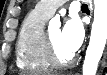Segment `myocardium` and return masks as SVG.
Returning <instances> with one entry per match:
<instances>
[{"instance_id":"myocardium-1","label":"myocardium","mask_w":107,"mask_h":75,"mask_svg":"<svg viewBox=\"0 0 107 75\" xmlns=\"http://www.w3.org/2000/svg\"><path fill=\"white\" fill-rule=\"evenodd\" d=\"M44 46L46 58L50 65L54 68L63 69L73 65L75 57L72 54L70 57L63 59L59 56L52 40L50 39L48 33H44Z\"/></svg>"}]
</instances>
